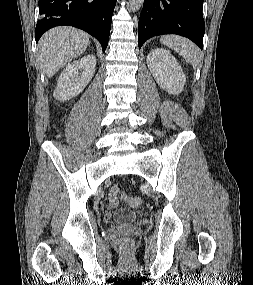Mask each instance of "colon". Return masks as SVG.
Wrapping results in <instances>:
<instances>
[{
	"label": "colon",
	"mask_w": 253,
	"mask_h": 285,
	"mask_svg": "<svg viewBox=\"0 0 253 285\" xmlns=\"http://www.w3.org/2000/svg\"><path fill=\"white\" fill-rule=\"evenodd\" d=\"M122 197H123L124 201H125L130 207L138 208V207H140L141 204H142L141 198H139V197H137V196H128V195L123 194ZM131 244H132L131 239L125 238V239L123 240V246H124V247L127 248V247L131 246Z\"/></svg>",
	"instance_id": "5ec220e1"
}]
</instances>
